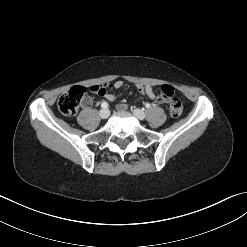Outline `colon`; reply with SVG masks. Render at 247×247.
Instances as JSON below:
<instances>
[{
    "instance_id": "1",
    "label": "colon",
    "mask_w": 247,
    "mask_h": 247,
    "mask_svg": "<svg viewBox=\"0 0 247 247\" xmlns=\"http://www.w3.org/2000/svg\"><path fill=\"white\" fill-rule=\"evenodd\" d=\"M105 86L97 85L91 87V90H99ZM132 89L139 92V100L144 98V95L150 99H155L156 103L163 105L171 97L169 104V113L173 118H178L183 112V103L175 95L173 86L158 85L156 87L146 84V80L132 84ZM86 100V88L82 86H74L58 99V109L64 116H73L77 113L80 105ZM140 105V102H137Z\"/></svg>"
}]
</instances>
